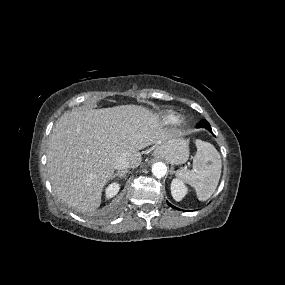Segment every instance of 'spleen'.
<instances>
[{"label":"spleen","mask_w":285,"mask_h":285,"mask_svg":"<svg viewBox=\"0 0 285 285\" xmlns=\"http://www.w3.org/2000/svg\"><path fill=\"white\" fill-rule=\"evenodd\" d=\"M196 155L193 159V169H179L176 176L192 186L200 201H205L214 193L220 176L222 162L216 148L201 140H196Z\"/></svg>","instance_id":"1"}]
</instances>
